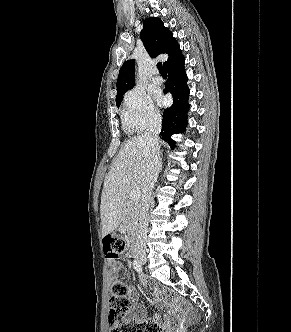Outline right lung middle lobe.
Returning a JSON list of instances; mask_svg holds the SVG:
<instances>
[{
	"instance_id": "right-lung-middle-lobe-1",
	"label": "right lung middle lobe",
	"mask_w": 291,
	"mask_h": 332,
	"mask_svg": "<svg viewBox=\"0 0 291 332\" xmlns=\"http://www.w3.org/2000/svg\"><path fill=\"white\" fill-rule=\"evenodd\" d=\"M120 104H121V101H119V102H116V105H117V107H119V106H120Z\"/></svg>"
}]
</instances>
